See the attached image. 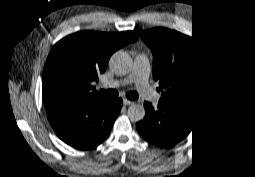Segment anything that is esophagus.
Returning a JSON list of instances; mask_svg holds the SVG:
<instances>
[{
	"label": "esophagus",
	"mask_w": 255,
	"mask_h": 177,
	"mask_svg": "<svg viewBox=\"0 0 255 177\" xmlns=\"http://www.w3.org/2000/svg\"><path fill=\"white\" fill-rule=\"evenodd\" d=\"M125 103H126V104H129V103H130V101L126 99V100H125Z\"/></svg>",
	"instance_id": "1"
}]
</instances>
